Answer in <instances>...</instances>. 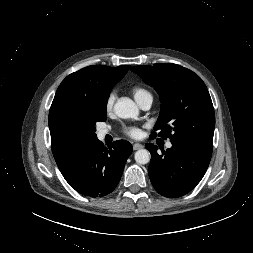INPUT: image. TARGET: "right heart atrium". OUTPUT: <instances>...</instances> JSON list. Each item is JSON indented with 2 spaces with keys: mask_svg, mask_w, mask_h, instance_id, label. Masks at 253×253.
Returning <instances> with one entry per match:
<instances>
[{
  "mask_svg": "<svg viewBox=\"0 0 253 253\" xmlns=\"http://www.w3.org/2000/svg\"><path fill=\"white\" fill-rule=\"evenodd\" d=\"M115 100H116V94L114 92H110L105 101V111L107 113L112 112Z\"/></svg>",
  "mask_w": 253,
  "mask_h": 253,
  "instance_id": "d8ad5b80",
  "label": "right heart atrium"
}]
</instances>
